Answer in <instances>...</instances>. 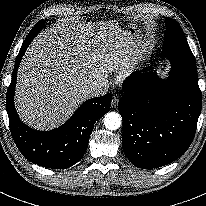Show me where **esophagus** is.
I'll use <instances>...</instances> for the list:
<instances>
[{"label":"esophagus","instance_id":"obj_1","mask_svg":"<svg viewBox=\"0 0 206 206\" xmlns=\"http://www.w3.org/2000/svg\"><path fill=\"white\" fill-rule=\"evenodd\" d=\"M118 102H119V98L118 97H113L112 100H111V107L112 108H116L117 105H118Z\"/></svg>","mask_w":206,"mask_h":206}]
</instances>
